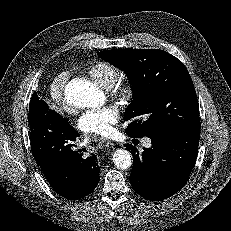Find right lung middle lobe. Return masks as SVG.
Listing matches in <instances>:
<instances>
[{"instance_id": "1", "label": "right lung middle lobe", "mask_w": 231, "mask_h": 231, "mask_svg": "<svg viewBox=\"0 0 231 231\" xmlns=\"http://www.w3.org/2000/svg\"><path fill=\"white\" fill-rule=\"evenodd\" d=\"M36 103H37V100L30 101L29 116H28L29 124H31L33 122V119H34V109H35L34 106L36 105Z\"/></svg>"}]
</instances>
